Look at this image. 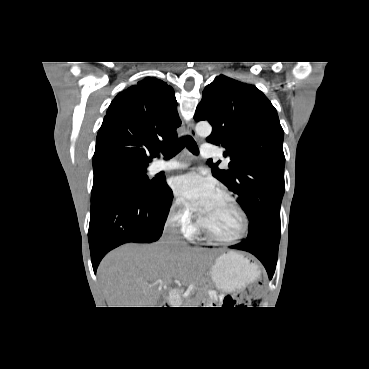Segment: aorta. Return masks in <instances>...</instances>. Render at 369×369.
I'll list each match as a JSON object with an SVG mask.
<instances>
[{
  "instance_id": "762f6f07",
  "label": "aorta",
  "mask_w": 369,
  "mask_h": 369,
  "mask_svg": "<svg viewBox=\"0 0 369 369\" xmlns=\"http://www.w3.org/2000/svg\"><path fill=\"white\" fill-rule=\"evenodd\" d=\"M195 131L199 136L207 137L211 134L212 127L208 122H199L195 127Z\"/></svg>"
}]
</instances>
